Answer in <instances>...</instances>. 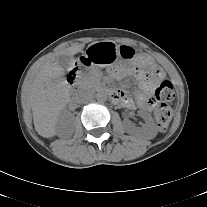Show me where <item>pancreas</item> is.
I'll return each instance as SVG.
<instances>
[{
    "label": "pancreas",
    "mask_w": 207,
    "mask_h": 207,
    "mask_svg": "<svg viewBox=\"0 0 207 207\" xmlns=\"http://www.w3.org/2000/svg\"><path fill=\"white\" fill-rule=\"evenodd\" d=\"M97 75L98 74L94 71L84 72L81 79L82 86L92 88L96 83Z\"/></svg>",
    "instance_id": "1"
}]
</instances>
